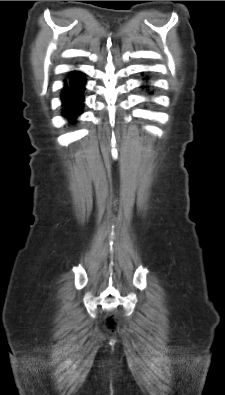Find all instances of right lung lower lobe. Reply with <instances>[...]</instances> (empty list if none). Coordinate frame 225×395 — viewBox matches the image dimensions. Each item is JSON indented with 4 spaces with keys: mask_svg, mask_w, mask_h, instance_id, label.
I'll list each match as a JSON object with an SVG mask.
<instances>
[{
    "mask_svg": "<svg viewBox=\"0 0 225 395\" xmlns=\"http://www.w3.org/2000/svg\"><path fill=\"white\" fill-rule=\"evenodd\" d=\"M69 78V82L65 81L61 94L63 116L75 122L83 112L86 79L84 73L79 71L71 72Z\"/></svg>",
    "mask_w": 225,
    "mask_h": 395,
    "instance_id": "obj_1",
    "label": "right lung lower lobe"
}]
</instances>
